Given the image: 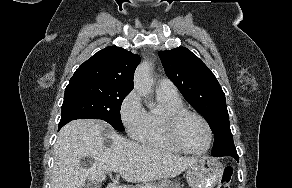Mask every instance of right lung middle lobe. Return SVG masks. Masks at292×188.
<instances>
[{"mask_svg": "<svg viewBox=\"0 0 292 188\" xmlns=\"http://www.w3.org/2000/svg\"><path fill=\"white\" fill-rule=\"evenodd\" d=\"M129 89L97 82H69L65 89L60 123L75 119H101L124 131L120 108Z\"/></svg>", "mask_w": 292, "mask_h": 188, "instance_id": "obj_1", "label": "right lung middle lobe"}]
</instances>
